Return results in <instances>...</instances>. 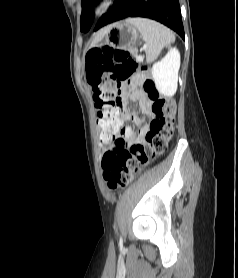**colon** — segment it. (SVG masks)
<instances>
[{
	"instance_id": "obj_1",
	"label": "colon",
	"mask_w": 238,
	"mask_h": 278,
	"mask_svg": "<svg viewBox=\"0 0 238 278\" xmlns=\"http://www.w3.org/2000/svg\"><path fill=\"white\" fill-rule=\"evenodd\" d=\"M86 77L94 93L98 109L97 129L104 135H115L121 126V86L131 79H140L152 102L154 119L145 135V143L114 144L102 159L104 177L112 189L128 185L141 167L163 154L173 136L176 105L161 95L145 65H138L131 54L109 46L90 49L86 54ZM103 149L102 141L98 142Z\"/></svg>"
}]
</instances>
